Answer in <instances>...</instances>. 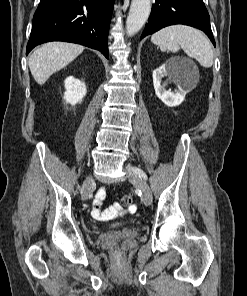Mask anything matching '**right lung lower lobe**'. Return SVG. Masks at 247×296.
Instances as JSON below:
<instances>
[{
    "label": "right lung lower lobe",
    "mask_w": 247,
    "mask_h": 296,
    "mask_svg": "<svg viewBox=\"0 0 247 296\" xmlns=\"http://www.w3.org/2000/svg\"><path fill=\"white\" fill-rule=\"evenodd\" d=\"M114 0H40L26 54L49 41H66L99 50L106 58Z\"/></svg>",
    "instance_id": "right-lung-lower-lobe-1"
}]
</instances>
